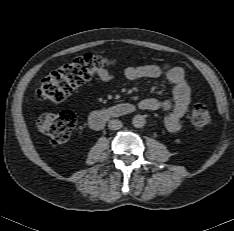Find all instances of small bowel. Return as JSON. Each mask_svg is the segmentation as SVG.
Listing matches in <instances>:
<instances>
[{
	"mask_svg": "<svg viewBox=\"0 0 234 231\" xmlns=\"http://www.w3.org/2000/svg\"><path fill=\"white\" fill-rule=\"evenodd\" d=\"M165 76L173 85L172 100H158L155 98L143 99L138 103L141 110H165L168 112L164 119L166 129L170 133H177L182 129L183 117L191 103V90L185 77L184 69L178 66L163 72L154 64L130 66L125 70V77L134 81L141 78H159ZM101 81H111L113 76L108 72L99 75Z\"/></svg>",
	"mask_w": 234,
	"mask_h": 231,
	"instance_id": "1",
	"label": "small bowel"
}]
</instances>
